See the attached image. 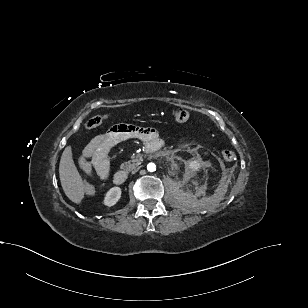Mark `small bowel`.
<instances>
[{
  "mask_svg": "<svg viewBox=\"0 0 308 308\" xmlns=\"http://www.w3.org/2000/svg\"><path fill=\"white\" fill-rule=\"evenodd\" d=\"M129 138H137L146 143L158 139L155 129L130 124H118L107 132L94 137L84 148L80 165L86 173H95L100 179L108 178L110 163L108 154L117 143Z\"/></svg>",
  "mask_w": 308,
  "mask_h": 308,
  "instance_id": "obj_1",
  "label": "small bowel"
}]
</instances>
